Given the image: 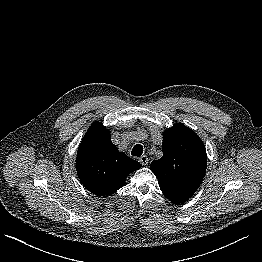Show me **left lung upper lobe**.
Masks as SVG:
<instances>
[{
    "mask_svg": "<svg viewBox=\"0 0 262 262\" xmlns=\"http://www.w3.org/2000/svg\"><path fill=\"white\" fill-rule=\"evenodd\" d=\"M163 157L150 164L164 196L175 204L199 188L207 166L205 146L190 128L179 123L163 133Z\"/></svg>",
    "mask_w": 262,
    "mask_h": 262,
    "instance_id": "1",
    "label": "left lung upper lobe"
}]
</instances>
